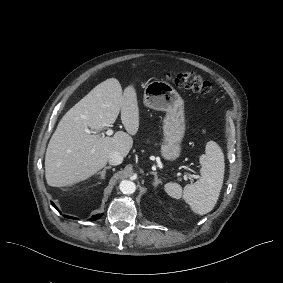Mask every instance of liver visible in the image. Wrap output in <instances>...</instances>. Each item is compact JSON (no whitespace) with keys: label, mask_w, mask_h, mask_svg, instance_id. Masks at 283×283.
Wrapping results in <instances>:
<instances>
[{"label":"liver","mask_w":283,"mask_h":283,"mask_svg":"<svg viewBox=\"0 0 283 283\" xmlns=\"http://www.w3.org/2000/svg\"><path fill=\"white\" fill-rule=\"evenodd\" d=\"M121 111V121L130 134L138 129V109L131 88L124 91L115 79L95 86L60 120L45 156V177L51 186L72 184L103 168L111 152L126 156L131 136L119 131L113 137H97L85 129L112 125Z\"/></svg>","instance_id":"6515ba94"}]
</instances>
